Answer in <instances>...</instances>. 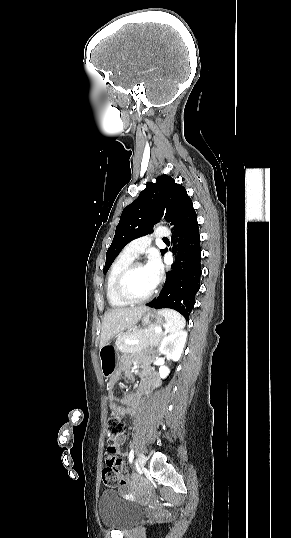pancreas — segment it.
<instances>
[{
	"instance_id": "1",
	"label": "pancreas",
	"mask_w": 291,
	"mask_h": 538,
	"mask_svg": "<svg viewBox=\"0 0 291 538\" xmlns=\"http://www.w3.org/2000/svg\"><path fill=\"white\" fill-rule=\"evenodd\" d=\"M163 334L156 332L154 328H145L129 332L116 342V347L122 353H135L151 345H158ZM126 339L139 340L137 344H127Z\"/></svg>"
}]
</instances>
